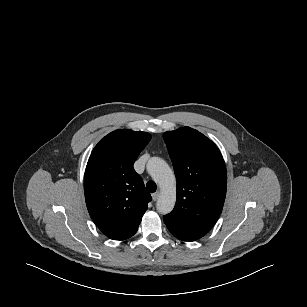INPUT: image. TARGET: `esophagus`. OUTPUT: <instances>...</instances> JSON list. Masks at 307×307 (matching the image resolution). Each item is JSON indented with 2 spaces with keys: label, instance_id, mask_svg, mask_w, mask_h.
I'll use <instances>...</instances> for the list:
<instances>
[{
  "label": "esophagus",
  "instance_id": "obj_1",
  "mask_svg": "<svg viewBox=\"0 0 307 307\" xmlns=\"http://www.w3.org/2000/svg\"><path fill=\"white\" fill-rule=\"evenodd\" d=\"M158 197H159V193L158 192L152 194L153 201H157Z\"/></svg>",
  "mask_w": 307,
  "mask_h": 307
}]
</instances>
